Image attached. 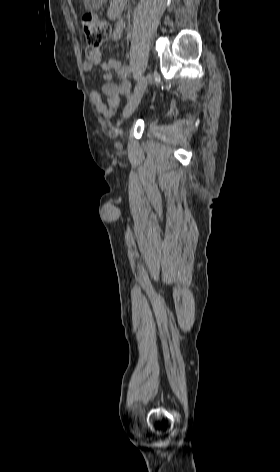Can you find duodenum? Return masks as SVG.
Instances as JSON below:
<instances>
[{"label":"duodenum","instance_id":"1","mask_svg":"<svg viewBox=\"0 0 280 472\" xmlns=\"http://www.w3.org/2000/svg\"><path fill=\"white\" fill-rule=\"evenodd\" d=\"M126 2L127 0H111V3L108 8V17L111 20L117 19L121 15L126 5Z\"/></svg>","mask_w":280,"mask_h":472}]
</instances>
